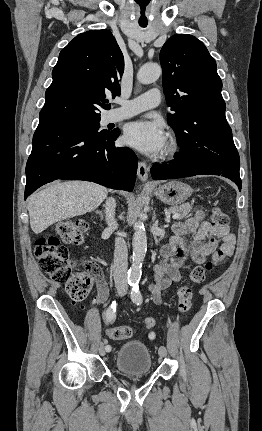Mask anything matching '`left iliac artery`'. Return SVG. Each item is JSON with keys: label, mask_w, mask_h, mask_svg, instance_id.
Returning a JSON list of instances; mask_svg holds the SVG:
<instances>
[{"label": "left iliac artery", "mask_w": 262, "mask_h": 431, "mask_svg": "<svg viewBox=\"0 0 262 431\" xmlns=\"http://www.w3.org/2000/svg\"><path fill=\"white\" fill-rule=\"evenodd\" d=\"M131 286V299L135 304L140 305L143 301V297L139 289V281H134Z\"/></svg>", "instance_id": "obj_1"}]
</instances>
